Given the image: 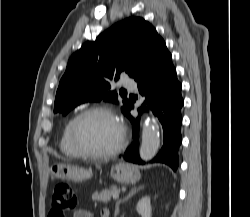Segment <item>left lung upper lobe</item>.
Returning <instances> with one entry per match:
<instances>
[{"label":"left lung upper lobe","instance_id":"left-lung-upper-lobe-1","mask_svg":"<svg viewBox=\"0 0 250 217\" xmlns=\"http://www.w3.org/2000/svg\"><path fill=\"white\" fill-rule=\"evenodd\" d=\"M163 39L143 18L129 17L88 41L69 59L60 80L54 103V113L67 114L76 106L91 101L117 103V93L110 82L125 72L135 78L152 61ZM125 114L129 100L123 101Z\"/></svg>","mask_w":250,"mask_h":217}]
</instances>
